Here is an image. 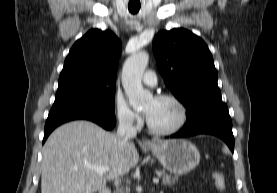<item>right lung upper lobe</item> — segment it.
<instances>
[{"mask_svg": "<svg viewBox=\"0 0 277 193\" xmlns=\"http://www.w3.org/2000/svg\"><path fill=\"white\" fill-rule=\"evenodd\" d=\"M121 41L111 31L91 29L71 48L59 77L58 90L84 86H116Z\"/></svg>", "mask_w": 277, "mask_h": 193, "instance_id": "1", "label": "right lung upper lobe"}]
</instances>
